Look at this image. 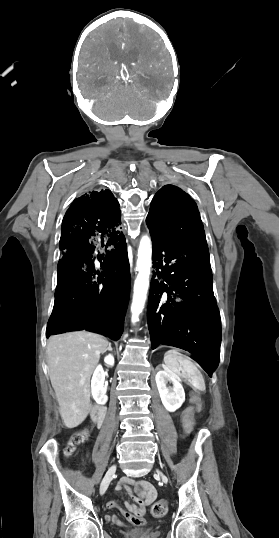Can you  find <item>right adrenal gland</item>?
<instances>
[{"mask_svg":"<svg viewBox=\"0 0 279 538\" xmlns=\"http://www.w3.org/2000/svg\"><path fill=\"white\" fill-rule=\"evenodd\" d=\"M108 350H113V348H111V344H109Z\"/></svg>","mask_w":279,"mask_h":538,"instance_id":"1","label":"right adrenal gland"}]
</instances>
